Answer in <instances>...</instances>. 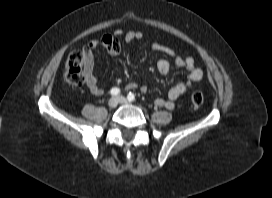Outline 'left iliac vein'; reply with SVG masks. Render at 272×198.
Listing matches in <instances>:
<instances>
[{
  "label": "left iliac vein",
  "instance_id": "4c4485c4",
  "mask_svg": "<svg viewBox=\"0 0 272 198\" xmlns=\"http://www.w3.org/2000/svg\"><path fill=\"white\" fill-rule=\"evenodd\" d=\"M117 99H118L119 103H121V104H128L129 103L128 100L123 96H118Z\"/></svg>",
  "mask_w": 272,
  "mask_h": 198
}]
</instances>
